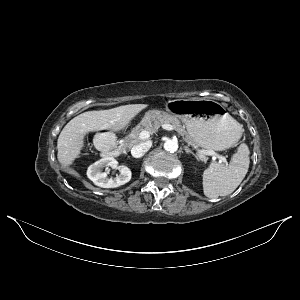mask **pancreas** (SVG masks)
<instances>
[{
	"instance_id": "1",
	"label": "pancreas",
	"mask_w": 300,
	"mask_h": 300,
	"mask_svg": "<svg viewBox=\"0 0 300 300\" xmlns=\"http://www.w3.org/2000/svg\"><path fill=\"white\" fill-rule=\"evenodd\" d=\"M162 124H171L173 128L185 139L191 143L194 147H197L194 141L191 139L189 133L186 131L185 127L181 124V122L173 115L168 113L159 112L156 117H147L145 116L141 123L137 125L131 133L124 138V142L122 143L123 147H132L133 145L139 143L141 139L139 138L140 133L143 130H147L150 134L156 132L157 128ZM201 160H206L204 155H199Z\"/></svg>"
}]
</instances>
